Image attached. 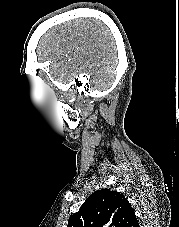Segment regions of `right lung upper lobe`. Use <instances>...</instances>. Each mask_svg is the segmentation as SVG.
I'll return each mask as SVG.
<instances>
[{"label": "right lung upper lobe", "mask_w": 179, "mask_h": 227, "mask_svg": "<svg viewBox=\"0 0 179 227\" xmlns=\"http://www.w3.org/2000/svg\"><path fill=\"white\" fill-rule=\"evenodd\" d=\"M138 221L124 195L110 189L94 192L68 220L67 227H136Z\"/></svg>", "instance_id": "obj_1"}]
</instances>
